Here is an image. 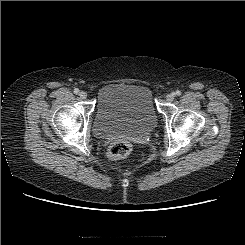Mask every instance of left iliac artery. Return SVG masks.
I'll return each mask as SVG.
<instances>
[{
  "mask_svg": "<svg viewBox=\"0 0 245 245\" xmlns=\"http://www.w3.org/2000/svg\"><path fill=\"white\" fill-rule=\"evenodd\" d=\"M174 94L179 96L181 95V91L177 90Z\"/></svg>",
  "mask_w": 245,
  "mask_h": 245,
  "instance_id": "44dca946",
  "label": "left iliac artery"
}]
</instances>
